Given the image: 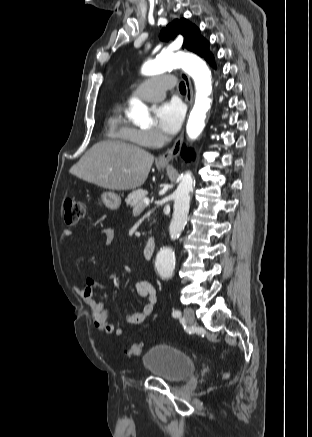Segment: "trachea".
Here are the masks:
<instances>
[{
    "mask_svg": "<svg viewBox=\"0 0 312 437\" xmlns=\"http://www.w3.org/2000/svg\"><path fill=\"white\" fill-rule=\"evenodd\" d=\"M179 90H180L181 93H186V87H185L184 82H181L179 84Z\"/></svg>",
    "mask_w": 312,
    "mask_h": 437,
    "instance_id": "3493384b",
    "label": "trachea"
}]
</instances>
